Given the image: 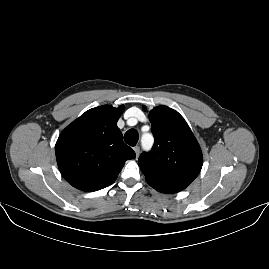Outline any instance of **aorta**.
I'll return each instance as SVG.
<instances>
[{
  "instance_id": "762f6f07",
  "label": "aorta",
  "mask_w": 269,
  "mask_h": 269,
  "mask_svg": "<svg viewBox=\"0 0 269 269\" xmlns=\"http://www.w3.org/2000/svg\"><path fill=\"white\" fill-rule=\"evenodd\" d=\"M142 144H143V146H145V147H150V146H151L150 143L144 142L143 140H142Z\"/></svg>"
}]
</instances>
